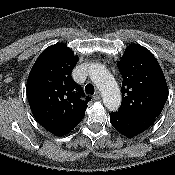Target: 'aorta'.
<instances>
[{"instance_id": "1", "label": "aorta", "mask_w": 175, "mask_h": 175, "mask_svg": "<svg viewBox=\"0 0 175 175\" xmlns=\"http://www.w3.org/2000/svg\"><path fill=\"white\" fill-rule=\"evenodd\" d=\"M89 76L101 91L105 107L110 111L118 110L121 104V93L108 69L102 64H93L89 70Z\"/></svg>"}]
</instances>
